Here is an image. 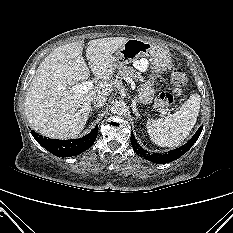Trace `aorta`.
Masks as SVG:
<instances>
[{"mask_svg": "<svg viewBox=\"0 0 233 233\" xmlns=\"http://www.w3.org/2000/svg\"><path fill=\"white\" fill-rule=\"evenodd\" d=\"M111 112L118 116L125 115L127 112V106L123 101H116L111 107Z\"/></svg>", "mask_w": 233, "mask_h": 233, "instance_id": "762f6f07", "label": "aorta"}]
</instances>
